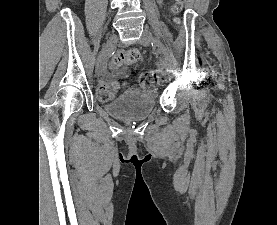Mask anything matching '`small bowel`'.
<instances>
[{
  "label": "small bowel",
  "mask_w": 277,
  "mask_h": 225,
  "mask_svg": "<svg viewBox=\"0 0 277 225\" xmlns=\"http://www.w3.org/2000/svg\"><path fill=\"white\" fill-rule=\"evenodd\" d=\"M98 73L100 77H104L106 75L105 66L100 67L98 70ZM123 74H124L123 72H118V76H122Z\"/></svg>",
  "instance_id": "obj_1"
}]
</instances>
